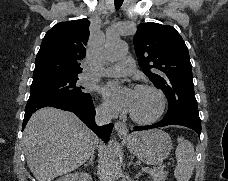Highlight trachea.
I'll return each mask as SVG.
<instances>
[{"label":"trachea","mask_w":228,"mask_h":181,"mask_svg":"<svg viewBox=\"0 0 228 181\" xmlns=\"http://www.w3.org/2000/svg\"><path fill=\"white\" fill-rule=\"evenodd\" d=\"M124 0H114V5L116 10H119L120 7L122 6Z\"/></svg>","instance_id":"3493384b"}]
</instances>
